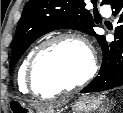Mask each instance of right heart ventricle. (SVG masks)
Wrapping results in <instances>:
<instances>
[{
    "label": "right heart ventricle",
    "instance_id": "obj_1",
    "mask_svg": "<svg viewBox=\"0 0 123 113\" xmlns=\"http://www.w3.org/2000/svg\"><path fill=\"white\" fill-rule=\"evenodd\" d=\"M36 48V47H35ZM35 48H33L26 56L25 58L23 59L19 69H18V72H17V84H18V87L20 89H23V88H27L31 91V89L27 86V83H26V67H27V63L29 61V58L31 56V54L33 53V51L35 50ZM53 95H46L45 97L43 98H48V97H52Z\"/></svg>",
    "mask_w": 123,
    "mask_h": 113
}]
</instances>
